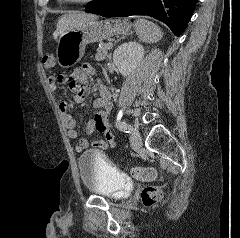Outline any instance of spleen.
<instances>
[{
    "label": "spleen",
    "mask_w": 240,
    "mask_h": 238,
    "mask_svg": "<svg viewBox=\"0 0 240 238\" xmlns=\"http://www.w3.org/2000/svg\"><path fill=\"white\" fill-rule=\"evenodd\" d=\"M134 28L138 38L145 43H156L163 37L161 29L146 19H137Z\"/></svg>",
    "instance_id": "obj_1"
}]
</instances>
